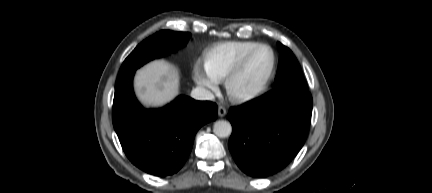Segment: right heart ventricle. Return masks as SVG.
I'll use <instances>...</instances> for the list:
<instances>
[{"instance_id": "right-heart-ventricle-1", "label": "right heart ventricle", "mask_w": 432, "mask_h": 193, "mask_svg": "<svg viewBox=\"0 0 432 193\" xmlns=\"http://www.w3.org/2000/svg\"><path fill=\"white\" fill-rule=\"evenodd\" d=\"M258 44L248 40L214 45L205 53V68L217 82L223 81L236 63Z\"/></svg>"}]
</instances>
